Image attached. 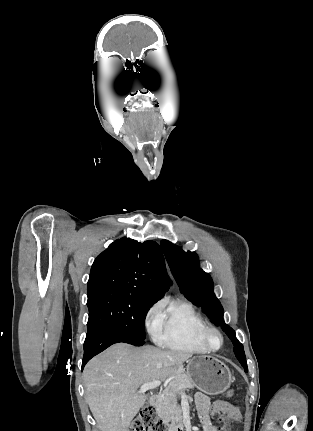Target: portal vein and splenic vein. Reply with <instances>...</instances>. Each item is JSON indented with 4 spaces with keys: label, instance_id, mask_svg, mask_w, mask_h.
Segmentation results:
<instances>
[{
    "label": "portal vein and splenic vein",
    "instance_id": "18ae733b",
    "mask_svg": "<svg viewBox=\"0 0 313 431\" xmlns=\"http://www.w3.org/2000/svg\"><path fill=\"white\" fill-rule=\"evenodd\" d=\"M160 385H161V381H159V380H155V381H152V382L145 383V384H143L140 387L138 393H145L146 391L155 389V388L159 387ZM179 387L181 388V387H184V386L180 385Z\"/></svg>",
    "mask_w": 313,
    "mask_h": 431
}]
</instances>
